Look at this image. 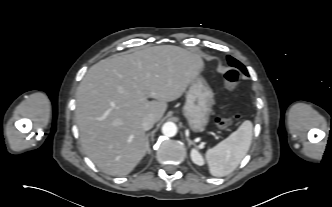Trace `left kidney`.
I'll return each mask as SVG.
<instances>
[{"mask_svg": "<svg viewBox=\"0 0 332 207\" xmlns=\"http://www.w3.org/2000/svg\"><path fill=\"white\" fill-rule=\"evenodd\" d=\"M190 156H191V159L192 161L199 165V166H202L204 165V158L202 157V155L199 153V151L195 148H193L190 152Z\"/></svg>", "mask_w": 332, "mask_h": 207, "instance_id": "1", "label": "left kidney"}]
</instances>
